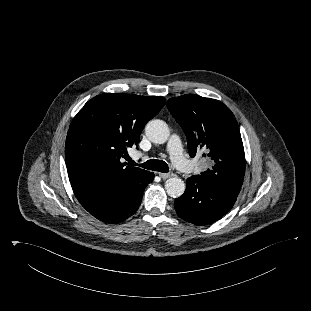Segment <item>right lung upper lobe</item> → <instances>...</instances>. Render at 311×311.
Wrapping results in <instances>:
<instances>
[{"label": "right lung upper lobe", "instance_id": "obj_1", "mask_svg": "<svg viewBox=\"0 0 311 311\" xmlns=\"http://www.w3.org/2000/svg\"><path fill=\"white\" fill-rule=\"evenodd\" d=\"M164 97L103 93L72 120L65 161L72 188L105 186L129 190L151 173L126 166L121 158L137 146L145 124L165 105Z\"/></svg>", "mask_w": 311, "mask_h": 311}]
</instances>
